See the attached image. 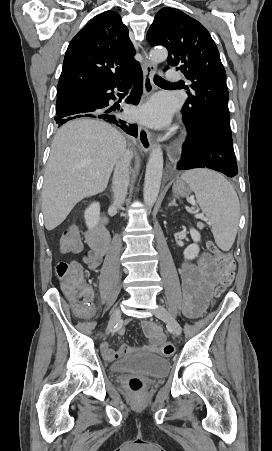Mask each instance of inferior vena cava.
I'll return each mask as SVG.
<instances>
[{
    "instance_id": "inferior-vena-cava-1",
    "label": "inferior vena cava",
    "mask_w": 272,
    "mask_h": 451,
    "mask_svg": "<svg viewBox=\"0 0 272 451\" xmlns=\"http://www.w3.org/2000/svg\"><path fill=\"white\" fill-rule=\"evenodd\" d=\"M130 160H131V152H129V150H126V152H124L121 158H119V160H117L116 162L112 180L113 184L112 188L114 196L113 206H121V204H123V200H125L129 184Z\"/></svg>"
}]
</instances>
